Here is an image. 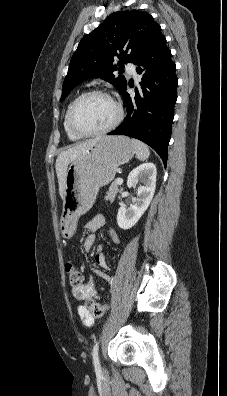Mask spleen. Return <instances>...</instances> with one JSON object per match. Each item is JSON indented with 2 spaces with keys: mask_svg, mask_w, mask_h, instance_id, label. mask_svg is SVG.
Returning <instances> with one entry per match:
<instances>
[{
  "mask_svg": "<svg viewBox=\"0 0 227 396\" xmlns=\"http://www.w3.org/2000/svg\"><path fill=\"white\" fill-rule=\"evenodd\" d=\"M131 142L134 145L136 157L140 161H144V160L148 159V157L150 155L148 146L146 144H144L143 142L136 140V139H132Z\"/></svg>",
  "mask_w": 227,
  "mask_h": 396,
  "instance_id": "obj_1",
  "label": "spleen"
}]
</instances>
